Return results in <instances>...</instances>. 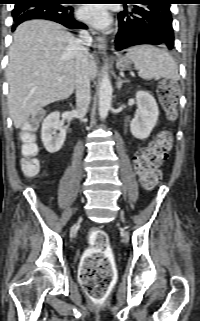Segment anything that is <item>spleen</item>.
Segmentation results:
<instances>
[{
    "label": "spleen",
    "mask_w": 200,
    "mask_h": 321,
    "mask_svg": "<svg viewBox=\"0 0 200 321\" xmlns=\"http://www.w3.org/2000/svg\"><path fill=\"white\" fill-rule=\"evenodd\" d=\"M126 57L145 80L167 78L177 81L180 78L175 60L164 49L152 45L134 46L128 49Z\"/></svg>",
    "instance_id": "obj_1"
}]
</instances>
